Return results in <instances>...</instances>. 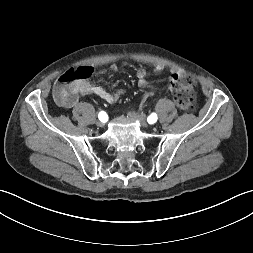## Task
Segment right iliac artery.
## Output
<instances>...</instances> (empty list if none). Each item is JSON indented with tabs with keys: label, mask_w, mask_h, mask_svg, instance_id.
<instances>
[{
	"label": "right iliac artery",
	"mask_w": 253,
	"mask_h": 253,
	"mask_svg": "<svg viewBox=\"0 0 253 253\" xmlns=\"http://www.w3.org/2000/svg\"><path fill=\"white\" fill-rule=\"evenodd\" d=\"M98 118L100 121L105 122L108 119V116H107L106 112L100 111L98 114Z\"/></svg>",
	"instance_id": "obj_1"
}]
</instances>
